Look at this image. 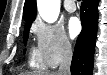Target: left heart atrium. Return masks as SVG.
<instances>
[{"instance_id": "left-heart-atrium-1", "label": "left heart atrium", "mask_w": 107, "mask_h": 75, "mask_svg": "<svg viewBox=\"0 0 107 75\" xmlns=\"http://www.w3.org/2000/svg\"><path fill=\"white\" fill-rule=\"evenodd\" d=\"M68 30H69V34L72 38H75L79 35V33L81 31V23L78 20V18L73 17L69 20Z\"/></svg>"}]
</instances>
